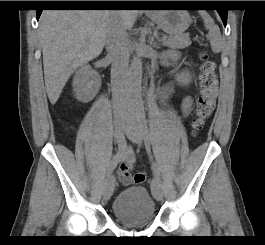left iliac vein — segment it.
<instances>
[{"label": "left iliac vein", "instance_id": "left-iliac-vein-1", "mask_svg": "<svg viewBox=\"0 0 265 245\" xmlns=\"http://www.w3.org/2000/svg\"><path fill=\"white\" fill-rule=\"evenodd\" d=\"M126 136L134 144L141 145L143 143L144 135L136 117L127 122ZM152 194L157 201L163 199V189L161 182L157 178L153 179Z\"/></svg>", "mask_w": 265, "mask_h": 245}]
</instances>
